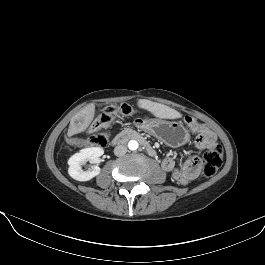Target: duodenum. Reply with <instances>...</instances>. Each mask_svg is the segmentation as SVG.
Instances as JSON below:
<instances>
[{
  "label": "duodenum",
  "instance_id": "1",
  "mask_svg": "<svg viewBox=\"0 0 265 265\" xmlns=\"http://www.w3.org/2000/svg\"><path fill=\"white\" fill-rule=\"evenodd\" d=\"M130 139L139 141L143 146V148L145 149V151L150 156L154 157L156 155L155 149L143 138V136L140 133L132 130H126L118 134L116 137L113 138L112 145L113 146L120 145Z\"/></svg>",
  "mask_w": 265,
  "mask_h": 265
}]
</instances>
